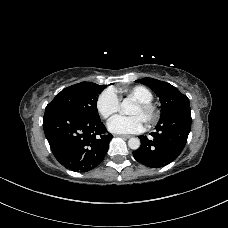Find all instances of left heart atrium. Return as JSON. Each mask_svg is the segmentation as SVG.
Segmentation results:
<instances>
[{
    "label": "left heart atrium",
    "instance_id": "obj_1",
    "mask_svg": "<svg viewBox=\"0 0 228 228\" xmlns=\"http://www.w3.org/2000/svg\"><path fill=\"white\" fill-rule=\"evenodd\" d=\"M144 120L138 115L114 116L108 122V129L117 134L139 133L144 130Z\"/></svg>",
    "mask_w": 228,
    "mask_h": 228
}]
</instances>
